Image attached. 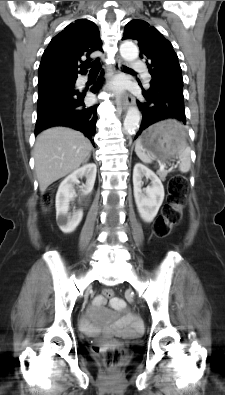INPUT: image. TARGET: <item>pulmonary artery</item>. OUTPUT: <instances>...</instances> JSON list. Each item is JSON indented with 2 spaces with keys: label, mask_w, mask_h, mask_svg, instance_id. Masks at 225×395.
Instances as JSON below:
<instances>
[{
  "label": "pulmonary artery",
  "mask_w": 225,
  "mask_h": 395,
  "mask_svg": "<svg viewBox=\"0 0 225 395\" xmlns=\"http://www.w3.org/2000/svg\"><path fill=\"white\" fill-rule=\"evenodd\" d=\"M132 67H133L134 69H136V70L142 72L143 77H144V79H145V81H146L147 83L150 82L151 76H150V74L148 73V71L146 70L144 64H143L141 61L135 60V61L132 63ZM84 80H85V78H82V79H81V81H84Z\"/></svg>",
  "instance_id": "pulmonary-artery-1"
}]
</instances>
